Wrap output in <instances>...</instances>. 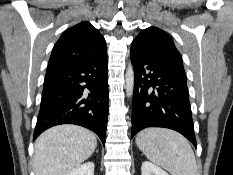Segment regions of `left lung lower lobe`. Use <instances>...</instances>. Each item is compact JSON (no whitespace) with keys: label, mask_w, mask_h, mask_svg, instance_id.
Returning <instances> with one entry per match:
<instances>
[{"label":"left lung lower lobe","mask_w":233,"mask_h":175,"mask_svg":"<svg viewBox=\"0 0 233 175\" xmlns=\"http://www.w3.org/2000/svg\"><path fill=\"white\" fill-rule=\"evenodd\" d=\"M130 57L134 68L131 137L147 127L173 129L196 147L185 72L159 63L134 44Z\"/></svg>","instance_id":"1"}]
</instances>
